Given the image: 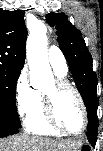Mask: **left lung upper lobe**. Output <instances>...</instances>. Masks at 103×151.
Instances as JSON below:
<instances>
[{
    "instance_id": "obj_1",
    "label": "left lung upper lobe",
    "mask_w": 103,
    "mask_h": 151,
    "mask_svg": "<svg viewBox=\"0 0 103 151\" xmlns=\"http://www.w3.org/2000/svg\"><path fill=\"white\" fill-rule=\"evenodd\" d=\"M46 21L56 28L60 49L66 57L73 79L89 110L98 98L96 95L98 79L92 69V56L82 34L63 13L51 12L46 15Z\"/></svg>"
}]
</instances>
